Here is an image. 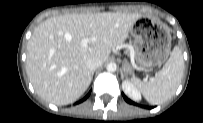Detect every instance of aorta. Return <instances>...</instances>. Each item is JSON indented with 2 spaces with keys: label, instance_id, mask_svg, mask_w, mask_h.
Returning <instances> with one entry per match:
<instances>
[{
  "label": "aorta",
  "instance_id": "762f6f07",
  "mask_svg": "<svg viewBox=\"0 0 203 123\" xmlns=\"http://www.w3.org/2000/svg\"><path fill=\"white\" fill-rule=\"evenodd\" d=\"M116 64L115 63H109L108 65H107V67H106V69H107V71H109V72H114V71H116Z\"/></svg>",
  "mask_w": 203,
  "mask_h": 123
}]
</instances>
